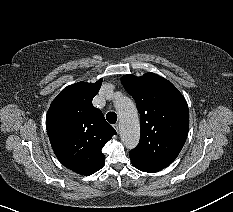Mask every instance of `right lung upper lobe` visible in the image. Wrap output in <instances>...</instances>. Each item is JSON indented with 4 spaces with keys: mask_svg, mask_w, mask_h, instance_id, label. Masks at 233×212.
<instances>
[{
    "mask_svg": "<svg viewBox=\"0 0 233 212\" xmlns=\"http://www.w3.org/2000/svg\"><path fill=\"white\" fill-rule=\"evenodd\" d=\"M101 84L102 79L67 86L53 100L46 116L55 155L65 167L82 175L93 174L104 166L101 150L116 134L102 112L92 105Z\"/></svg>",
    "mask_w": 233,
    "mask_h": 212,
    "instance_id": "obj_1",
    "label": "right lung upper lobe"
}]
</instances>
